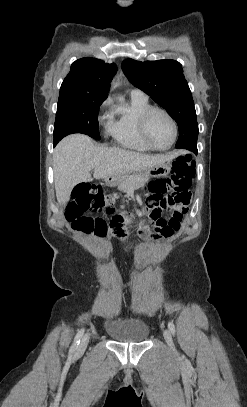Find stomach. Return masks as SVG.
<instances>
[{
	"label": "stomach",
	"instance_id": "stomach-1",
	"mask_svg": "<svg viewBox=\"0 0 247 407\" xmlns=\"http://www.w3.org/2000/svg\"><path fill=\"white\" fill-rule=\"evenodd\" d=\"M171 168V162H165L158 166H141L140 169H132L131 176L132 178L166 177L170 173ZM128 176L129 174L107 177L105 178V183L108 186H116Z\"/></svg>",
	"mask_w": 247,
	"mask_h": 407
}]
</instances>
